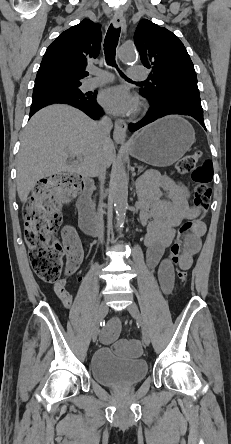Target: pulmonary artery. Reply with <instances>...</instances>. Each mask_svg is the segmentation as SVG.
<instances>
[{"label":"pulmonary artery","mask_w":231,"mask_h":444,"mask_svg":"<svg viewBox=\"0 0 231 444\" xmlns=\"http://www.w3.org/2000/svg\"><path fill=\"white\" fill-rule=\"evenodd\" d=\"M93 72L95 73V77L87 80L84 83V89H93L114 80V76L110 72L103 70H95ZM128 74L129 78L133 80H142L146 77V70L145 68L139 66L130 67Z\"/></svg>","instance_id":"pulmonary-artery-1"}]
</instances>
